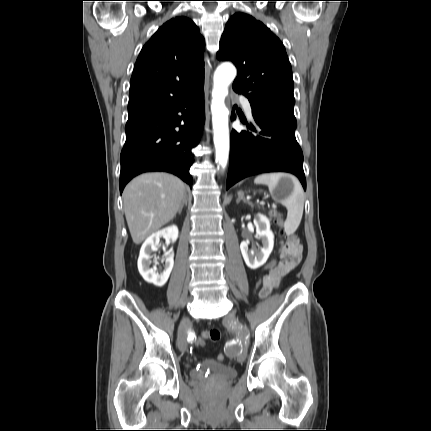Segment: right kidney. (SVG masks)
I'll return each instance as SVG.
<instances>
[{"label":"right kidney","mask_w":431,"mask_h":431,"mask_svg":"<svg viewBox=\"0 0 431 431\" xmlns=\"http://www.w3.org/2000/svg\"><path fill=\"white\" fill-rule=\"evenodd\" d=\"M160 237H163L166 241L175 242L178 238L177 226H170L150 235L143 243L138 258L139 273L146 282L157 287L165 285L174 265V254L169 253V256L164 260L165 264L162 269L158 270L156 266L150 267V259L152 258V253L157 250ZM154 262L158 264L156 257H154Z\"/></svg>","instance_id":"right-kidney-1"}]
</instances>
